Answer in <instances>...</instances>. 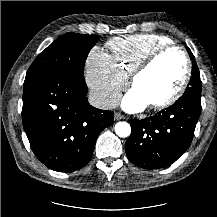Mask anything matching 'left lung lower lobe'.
<instances>
[{
  "label": "left lung lower lobe",
  "instance_id": "obj_1",
  "mask_svg": "<svg viewBox=\"0 0 217 217\" xmlns=\"http://www.w3.org/2000/svg\"><path fill=\"white\" fill-rule=\"evenodd\" d=\"M200 113L201 97L183 94L155 116L131 119L125 144L129 161L144 169L172 164L189 148Z\"/></svg>",
  "mask_w": 217,
  "mask_h": 217
}]
</instances>
